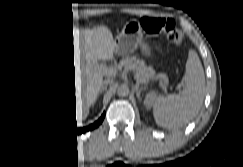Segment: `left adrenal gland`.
<instances>
[{"mask_svg":"<svg viewBox=\"0 0 243 167\" xmlns=\"http://www.w3.org/2000/svg\"><path fill=\"white\" fill-rule=\"evenodd\" d=\"M134 89H135V91H136V96H137V98H138L139 100H141V99H140V93H141L142 88H139V86L136 85Z\"/></svg>","mask_w":243,"mask_h":167,"instance_id":"left-adrenal-gland-1","label":"left adrenal gland"}]
</instances>
